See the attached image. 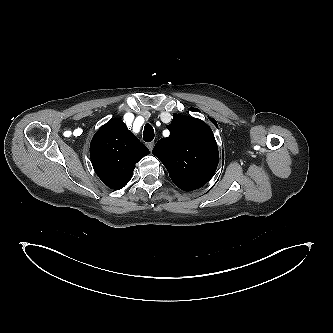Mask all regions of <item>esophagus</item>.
<instances>
[{"label":"esophagus","instance_id":"34e87169","mask_svg":"<svg viewBox=\"0 0 333 333\" xmlns=\"http://www.w3.org/2000/svg\"><path fill=\"white\" fill-rule=\"evenodd\" d=\"M147 147H148V149H149L150 151H152V150H153V147H154V142H150V143H148V144H147Z\"/></svg>","mask_w":333,"mask_h":333}]
</instances>
